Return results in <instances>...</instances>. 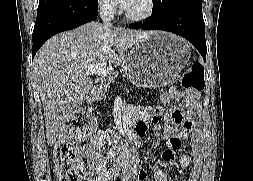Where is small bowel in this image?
I'll return each instance as SVG.
<instances>
[{
	"label": "small bowel",
	"mask_w": 253,
	"mask_h": 181,
	"mask_svg": "<svg viewBox=\"0 0 253 181\" xmlns=\"http://www.w3.org/2000/svg\"><path fill=\"white\" fill-rule=\"evenodd\" d=\"M160 101L163 104L182 102L181 109L172 111L164 120L166 147L162 155L164 160L171 162L174 160V153L180 148L179 140L187 133L194 132L190 114L198 107V94L171 88L160 95ZM184 109H188L187 114H184ZM132 112L138 119L135 132L140 137L147 133L150 125L157 126L162 118V109L158 105L147 108L133 107ZM117 139V134L106 128L97 131L87 144L77 148L79 155L87 160L88 172L92 180L95 181L93 176H97L99 181L119 179L122 181H153L146 170L143 169L137 173L135 164L126 158L118 147H115L113 153L102 151L105 143H116ZM201 154V139L199 134L195 133L191 144V153L179 158L180 167L184 170L189 169L184 181H198L202 168ZM154 180L173 181L163 168L155 170Z\"/></svg>",
	"instance_id": "c3829d8e"
}]
</instances>
